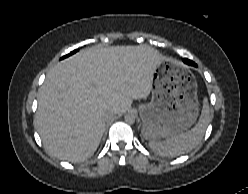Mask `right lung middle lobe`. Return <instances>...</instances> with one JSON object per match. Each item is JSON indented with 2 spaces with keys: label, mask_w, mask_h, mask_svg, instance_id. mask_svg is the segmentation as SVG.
Here are the masks:
<instances>
[{
  "label": "right lung middle lobe",
  "mask_w": 248,
  "mask_h": 194,
  "mask_svg": "<svg viewBox=\"0 0 248 194\" xmlns=\"http://www.w3.org/2000/svg\"><path fill=\"white\" fill-rule=\"evenodd\" d=\"M75 52H76V51H73V52H71L70 54H68V55L64 56L63 58H66V57H68V56H70V55L74 54Z\"/></svg>",
  "instance_id": "1"
}]
</instances>
